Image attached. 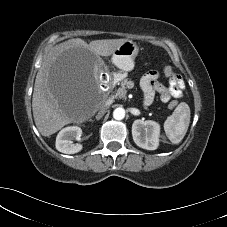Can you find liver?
<instances>
[{"label":"liver","instance_id":"obj_1","mask_svg":"<svg viewBox=\"0 0 227 227\" xmlns=\"http://www.w3.org/2000/svg\"><path fill=\"white\" fill-rule=\"evenodd\" d=\"M127 39H70L49 49L37 73L32 110L42 136H50L77 120L75 107L96 88L100 56H110ZM68 73L63 82L62 74Z\"/></svg>","mask_w":227,"mask_h":227}]
</instances>
